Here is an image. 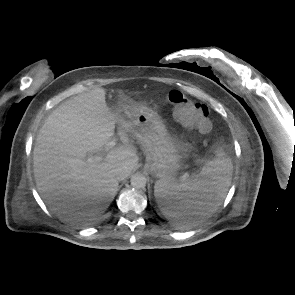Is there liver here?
I'll list each match as a JSON object with an SVG mask.
<instances>
[{
    "label": "liver",
    "mask_w": 295,
    "mask_h": 295,
    "mask_svg": "<svg viewBox=\"0 0 295 295\" xmlns=\"http://www.w3.org/2000/svg\"><path fill=\"white\" fill-rule=\"evenodd\" d=\"M105 99V90L96 88L64 101L37 136L33 152L37 189L64 221L102 213L117 191V170L123 168L128 176L139 162L127 135L129 127ZM116 124L122 145L109 150L101 161L88 163L87 154L106 146Z\"/></svg>",
    "instance_id": "liver-1"
}]
</instances>
